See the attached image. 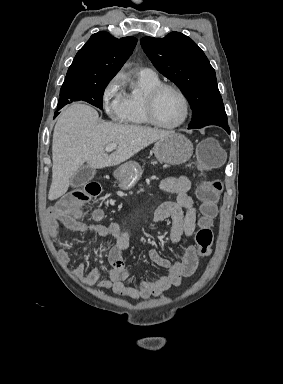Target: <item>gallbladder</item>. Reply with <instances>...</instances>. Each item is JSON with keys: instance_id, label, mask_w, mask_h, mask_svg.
I'll return each instance as SVG.
<instances>
[{"instance_id": "gallbladder-1", "label": "gallbladder", "mask_w": 283, "mask_h": 384, "mask_svg": "<svg viewBox=\"0 0 283 384\" xmlns=\"http://www.w3.org/2000/svg\"><path fill=\"white\" fill-rule=\"evenodd\" d=\"M91 169V167L87 168V166H82L71 180L72 188H81V186H85V184L93 178L94 170Z\"/></svg>"}]
</instances>
